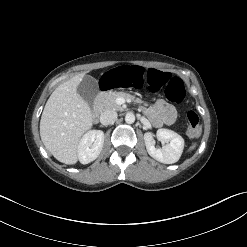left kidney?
<instances>
[{"instance_id":"1","label":"left kidney","mask_w":247,"mask_h":247,"mask_svg":"<svg viewBox=\"0 0 247 247\" xmlns=\"http://www.w3.org/2000/svg\"><path fill=\"white\" fill-rule=\"evenodd\" d=\"M156 136L162 142V148L155 147L152 133L144 134L148 154L161 163L172 164L177 162L184 149V139L169 129H158Z\"/></svg>"}]
</instances>
